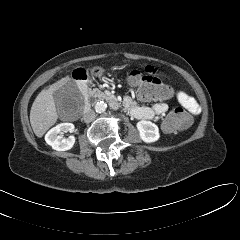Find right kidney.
I'll return each instance as SVG.
<instances>
[{
  "mask_svg": "<svg viewBox=\"0 0 240 240\" xmlns=\"http://www.w3.org/2000/svg\"><path fill=\"white\" fill-rule=\"evenodd\" d=\"M74 125L72 123H61L50 129L45 135V141L54 150L66 151L73 147L75 143V137L69 136L63 138L62 134L66 132H73Z\"/></svg>",
  "mask_w": 240,
  "mask_h": 240,
  "instance_id": "ca27d5eb",
  "label": "right kidney"
}]
</instances>
